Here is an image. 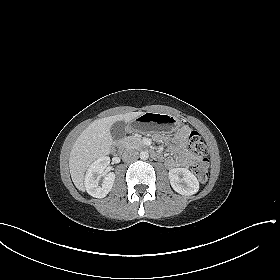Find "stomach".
<instances>
[{
    "instance_id": "stomach-1",
    "label": "stomach",
    "mask_w": 280,
    "mask_h": 280,
    "mask_svg": "<svg viewBox=\"0 0 280 280\" xmlns=\"http://www.w3.org/2000/svg\"><path fill=\"white\" fill-rule=\"evenodd\" d=\"M181 126V121L170 114L147 112L133 119L130 130L138 132L146 127H155L165 133H172Z\"/></svg>"
}]
</instances>
